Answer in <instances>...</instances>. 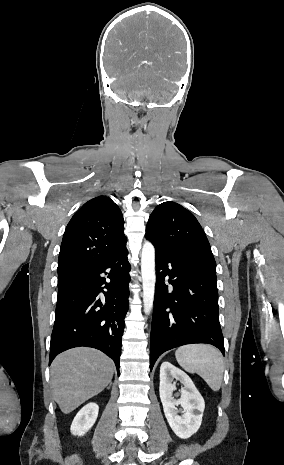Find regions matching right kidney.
<instances>
[{"label":"right kidney","instance_id":"1","mask_svg":"<svg viewBox=\"0 0 284 465\" xmlns=\"http://www.w3.org/2000/svg\"><path fill=\"white\" fill-rule=\"evenodd\" d=\"M98 411L99 407L96 403H88V405H85V407L77 413L76 417H74L70 429L72 435H78V437L85 435V433L93 427L98 417Z\"/></svg>","mask_w":284,"mask_h":465}]
</instances>
